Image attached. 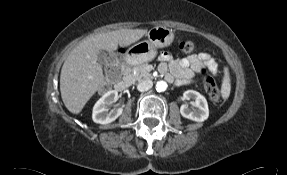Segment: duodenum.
Wrapping results in <instances>:
<instances>
[{
	"label": "duodenum",
	"mask_w": 287,
	"mask_h": 175,
	"mask_svg": "<svg viewBox=\"0 0 287 175\" xmlns=\"http://www.w3.org/2000/svg\"><path fill=\"white\" fill-rule=\"evenodd\" d=\"M129 64L130 62L128 60L122 63L123 76L115 84L116 89L119 91H125L130 86L131 80L128 74Z\"/></svg>",
	"instance_id": "410a0bca"
}]
</instances>
